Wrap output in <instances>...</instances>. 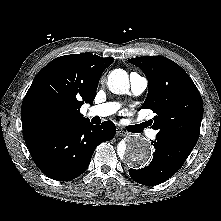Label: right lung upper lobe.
Instances as JSON below:
<instances>
[{
  "mask_svg": "<svg viewBox=\"0 0 221 221\" xmlns=\"http://www.w3.org/2000/svg\"><path fill=\"white\" fill-rule=\"evenodd\" d=\"M114 58L91 53L58 57L34 78L22 103L24 138L88 122L80 113L92 104L99 79Z\"/></svg>",
  "mask_w": 221,
  "mask_h": 221,
  "instance_id": "right-lung-upper-lobe-1",
  "label": "right lung upper lobe"
}]
</instances>
